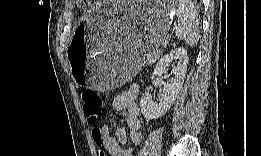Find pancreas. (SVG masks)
<instances>
[{
	"label": "pancreas",
	"mask_w": 261,
	"mask_h": 156,
	"mask_svg": "<svg viewBox=\"0 0 261 156\" xmlns=\"http://www.w3.org/2000/svg\"><path fill=\"white\" fill-rule=\"evenodd\" d=\"M161 55V51H155L154 53H152L151 55H149L147 57V59L144 61L143 65H149L152 64L153 62H155L158 57Z\"/></svg>",
	"instance_id": "1"
}]
</instances>
